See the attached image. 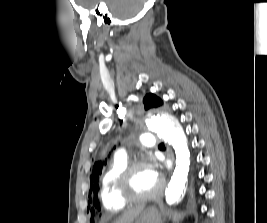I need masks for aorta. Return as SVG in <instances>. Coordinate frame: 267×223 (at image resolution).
Segmentation results:
<instances>
[{
    "mask_svg": "<svg viewBox=\"0 0 267 223\" xmlns=\"http://www.w3.org/2000/svg\"><path fill=\"white\" fill-rule=\"evenodd\" d=\"M149 130L156 132L173 147L176 154L175 169L165 191V201L173 205L185 194L190 166V152L186 136L179 121L171 115H153L146 122Z\"/></svg>",
    "mask_w": 267,
    "mask_h": 223,
    "instance_id": "obj_1",
    "label": "aorta"
}]
</instances>
